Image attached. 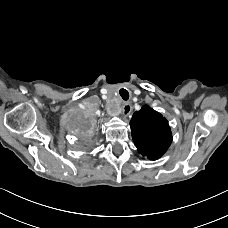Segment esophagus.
<instances>
[{"instance_id":"34e87169","label":"esophagus","mask_w":228,"mask_h":228,"mask_svg":"<svg viewBox=\"0 0 228 228\" xmlns=\"http://www.w3.org/2000/svg\"><path fill=\"white\" fill-rule=\"evenodd\" d=\"M123 114L125 115V116H129L130 115V113H131V111H132V106H131V104L129 103V102H125L124 104H123Z\"/></svg>"}]
</instances>
